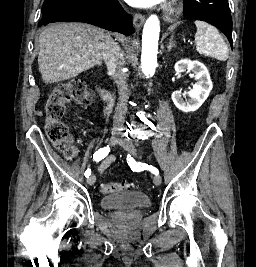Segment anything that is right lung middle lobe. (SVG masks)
Instances as JSON below:
<instances>
[{"label": "right lung middle lobe", "mask_w": 256, "mask_h": 267, "mask_svg": "<svg viewBox=\"0 0 256 267\" xmlns=\"http://www.w3.org/2000/svg\"><path fill=\"white\" fill-rule=\"evenodd\" d=\"M90 0H45L42 6V11L46 8H49L51 6L59 5V4H66L71 6H77L80 4H83L85 2H88Z\"/></svg>", "instance_id": "1"}]
</instances>
